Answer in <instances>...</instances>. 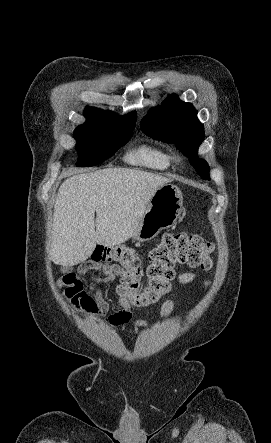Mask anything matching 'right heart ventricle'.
<instances>
[{
	"label": "right heart ventricle",
	"instance_id": "1",
	"mask_svg": "<svg viewBox=\"0 0 271 443\" xmlns=\"http://www.w3.org/2000/svg\"><path fill=\"white\" fill-rule=\"evenodd\" d=\"M125 160L155 171H168L175 163L174 153L169 147L151 142H143L130 150Z\"/></svg>",
	"mask_w": 271,
	"mask_h": 443
}]
</instances>
